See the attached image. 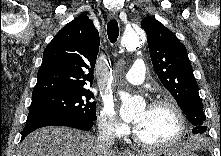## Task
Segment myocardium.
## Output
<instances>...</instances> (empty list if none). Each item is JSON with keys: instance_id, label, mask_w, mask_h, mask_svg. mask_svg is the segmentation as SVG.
I'll use <instances>...</instances> for the list:
<instances>
[{"instance_id": "myocardium-1", "label": "myocardium", "mask_w": 221, "mask_h": 156, "mask_svg": "<svg viewBox=\"0 0 221 156\" xmlns=\"http://www.w3.org/2000/svg\"><path fill=\"white\" fill-rule=\"evenodd\" d=\"M149 107H168L170 108L176 115L178 120V129L176 134L168 141L160 142V143H151L144 141L139 137L136 130L133 132V138L134 140L142 147L145 148H151V149H160V148H166L170 147L176 143H178L182 137L184 136L186 130H187V120L186 116L183 112V110L180 108V106L173 100L167 99V98H161L154 100L149 104Z\"/></svg>"}]
</instances>
